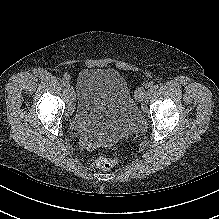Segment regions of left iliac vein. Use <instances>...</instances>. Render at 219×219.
I'll return each mask as SVG.
<instances>
[{
  "label": "left iliac vein",
  "mask_w": 219,
  "mask_h": 219,
  "mask_svg": "<svg viewBox=\"0 0 219 219\" xmlns=\"http://www.w3.org/2000/svg\"><path fill=\"white\" fill-rule=\"evenodd\" d=\"M137 98L140 100V101H143V106H142V110L144 112L147 111V104H148V101H149V98H150V92L149 91H145L144 89L142 88H139L137 90Z\"/></svg>",
  "instance_id": "obj_1"
}]
</instances>
